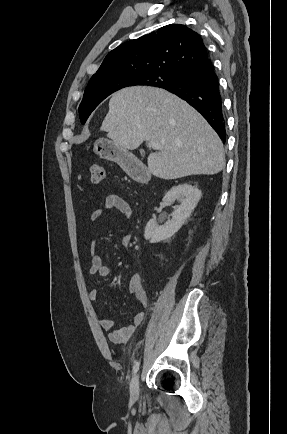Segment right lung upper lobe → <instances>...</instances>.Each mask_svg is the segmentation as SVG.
<instances>
[{
	"label": "right lung upper lobe",
	"mask_w": 287,
	"mask_h": 434,
	"mask_svg": "<svg viewBox=\"0 0 287 434\" xmlns=\"http://www.w3.org/2000/svg\"><path fill=\"white\" fill-rule=\"evenodd\" d=\"M207 58L198 33L185 25L170 24L109 52L90 81L145 73L179 75Z\"/></svg>",
	"instance_id": "right-lung-upper-lobe-1"
}]
</instances>
